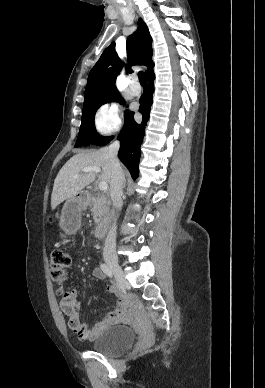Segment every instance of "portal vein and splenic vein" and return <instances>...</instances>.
Returning <instances> with one entry per match:
<instances>
[{
    "instance_id": "obj_1",
    "label": "portal vein and splenic vein",
    "mask_w": 265,
    "mask_h": 388,
    "mask_svg": "<svg viewBox=\"0 0 265 388\" xmlns=\"http://www.w3.org/2000/svg\"><path fill=\"white\" fill-rule=\"evenodd\" d=\"M81 172H84V174H88V172H96V174H99V172H101V168L100 166H90V168H83ZM74 178H78V174H76ZM99 188L100 190H107L108 188L107 182H100Z\"/></svg>"
}]
</instances>
